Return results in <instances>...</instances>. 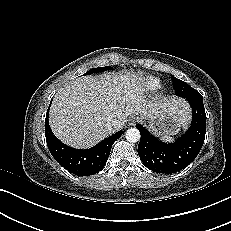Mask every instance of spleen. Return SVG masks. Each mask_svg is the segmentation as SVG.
<instances>
[{
  "instance_id": "3e777b00",
  "label": "spleen",
  "mask_w": 231,
  "mask_h": 231,
  "mask_svg": "<svg viewBox=\"0 0 231 231\" xmlns=\"http://www.w3.org/2000/svg\"><path fill=\"white\" fill-rule=\"evenodd\" d=\"M162 140L164 141V142H172L173 141V138L172 137H170V136H163L162 137Z\"/></svg>"
}]
</instances>
